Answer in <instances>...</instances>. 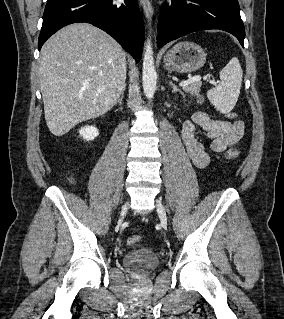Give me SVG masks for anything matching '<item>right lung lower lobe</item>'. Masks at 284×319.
I'll return each mask as SVG.
<instances>
[{"label":"right lung lower lobe","mask_w":284,"mask_h":319,"mask_svg":"<svg viewBox=\"0 0 284 319\" xmlns=\"http://www.w3.org/2000/svg\"><path fill=\"white\" fill-rule=\"evenodd\" d=\"M87 22L111 35L136 61L141 58L144 24L137 0H125L121 5L113 0H48L38 40L44 42L62 27Z\"/></svg>","instance_id":"1"}]
</instances>
